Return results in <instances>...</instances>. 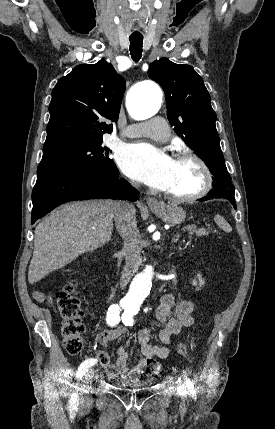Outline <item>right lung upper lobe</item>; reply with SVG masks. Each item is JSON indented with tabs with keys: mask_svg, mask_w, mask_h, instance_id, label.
<instances>
[{
	"mask_svg": "<svg viewBox=\"0 0 275 429\" xmlns=\"http://www.w3.org/2000/svg\"><path fill=\"white\" fill-rule=\"evenodd\" d=\"M125 80L105 60L80 64L60 78L52 91L44 154L71 144H89L111 133L117 121Z\"/></svg>",
	"mask_w": 275,
	"mask_h": 429,
	"instance_id": "right-lung-upper-lobe-1",
	"label": "right lung upper lobe"
}]
</instances>
